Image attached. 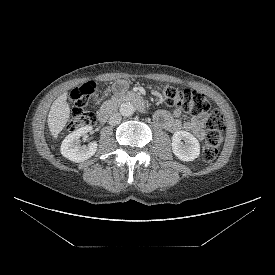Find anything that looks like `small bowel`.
Here are the masks:
<instances>
[{"mask_svg":"<svg viewBox=\"0 0 275 275\" xmlns=\"http://www.w3.org/2000/svg\"><path fill=\"white\" fill-rule=\"evenodd\" d=\"M128 87L126 80L116 81L112 89L115 93H121L125 91ZM184 111L181 108L176 109L173 113L166 110H158L155 114L156 123L170 132H177L181 129L191 131L198 139H203L204 137V125L207 120V114L202 113L194 116L190 120H183Z\"/></svg>","mask_w":275,"mask_h":275,"instance_id":"obj_1","label":"small bowel"}]
</instances>
